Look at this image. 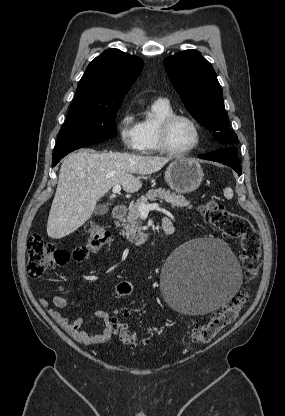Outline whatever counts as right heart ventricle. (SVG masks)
Segmentation results:
<instances>
[{
	"label": "right heart ventricle",
	"mask_w": 285,
	"mask_h": 416,
	"mask_svg": "<svg viewBox=\"0 0 285 416\" xmlns=\"http://www.w3.org/2000/svg\"><path fill=\"white\" fill-rule=\"evenodd\" d=\"M150 116L139 119V129L142 136V151L146 153L161 152L158 143L157 127L164 117L173 113L170 103L165 99H157L152 104Z\"/></svg>",
	"instance_id": "1"
}]
</instances>
